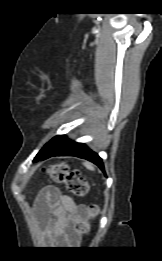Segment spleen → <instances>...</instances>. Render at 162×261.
<instances>
[{
    "mask_svg": "<svg viewBox=\"0 0 162 261\" xmlns=\"http://www.w3.org/2000/svg\"><path fill=\"white\" fill-rule=\"evenodd\" d=\"M83 165H84L88 170L94 171V166H93V164H91L90 162H84Z\"/></svg>",
    "mask_w": 162,
    "mask_h": 261,
    "instance_id": "1",
    "label": "spleen"
}]
</instances>
